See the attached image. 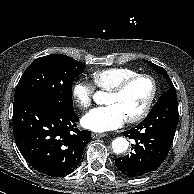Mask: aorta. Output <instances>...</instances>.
Returning a JSON list of instances; mask_svg holds the SVG:
<instances>
[{
	"mask_svg": "<svg viewBox=\"0 0 194 194\" xmlns=\"http://www.w3.org/2000/svg\"><path fill=\"white\" fill-rule=\"evenodd\" d=\"M101 95H102L101 92H97L95 94L94 99L96 102H99V97ZM128 147H129V142L123 137H118L112 141V149H113V152L116 154H121L123 152H126Z\"/></svg>",
	"mask_w": 194,
	"mask_h": 194,
	"instance_id": "1",
	"label": "aorta"
}]
</instances>
